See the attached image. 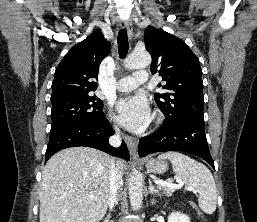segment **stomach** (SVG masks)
<instances>
[{
    "label": "stomach",
    "mask_w": 257,
    "mask_h": 222,
    "mask_svg": "<svg viewBox=\"0 0 257 222\" xmlns=\"http://www.w3.org/2000/svg\"><path fill=\"white\" fill-rule=\"evenodd\" d=\"M146 169L150 173L154 174H163L168 169V164L164 159L161 158H152L147 161L146 163Z\"/></svg>",
    "instance_id": "stomach-1"
}]
</instances>
